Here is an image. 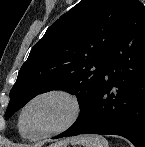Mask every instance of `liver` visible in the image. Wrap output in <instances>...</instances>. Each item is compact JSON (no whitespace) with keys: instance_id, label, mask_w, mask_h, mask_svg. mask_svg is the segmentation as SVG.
Instances as JSON below:
<instances>
[{"instance_id":"liver-1","label":"liver","mask_w":145,"mask_h":147,"mask_svg":"<svg viewBox=\"0 0 145 147\" xmlns=\"http://www.w3.org/2000/svg\"><path fill=\"white\" fill-rule=\"evenodd\" d=\"M76 141H77V138L65 140V141L59 142L51 147H66L68 142H71L72 144H76Z\"/></svg>"}]
</instances>
